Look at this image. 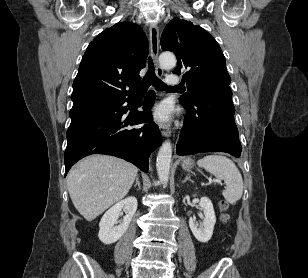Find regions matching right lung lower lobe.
Masks as SVG:
<instances>
[{"instance_id":"98d812e1","label":"right lung lower lobe","mask_w":308,"mask_h":278,"mask_svg":"<svg viewBox=\"0 0 308 278\" xmlns=\"http://www.w3.org/2000/svg\"><path fill=\"white\" fill-rule=\"evenodd\" d=\"M133 97L95 107L81 114L71 116L67 131V148L64 154L65 176L71 166L84 156L100 153L125 159L142 171L148 172L149 155L161 145L162 138L158 127L151 121L150 108L154 93L147 94L143 111L136 112L133 118L124 120L127 112L125 102L130 105ZM149 120L140 129H129Z\"/></svg>"}]
</instances>
